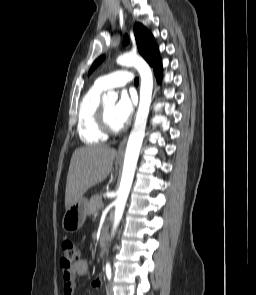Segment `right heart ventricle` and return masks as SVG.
<instances>
[{
    "mask_svg": "<svg viewBox=\"0 0 256 295\" xmlns=\"http://www.w3.org/2000/svg\"><path fill=\"white\" fill-rule=\"evenodd\" d=\"M105 90L93 85L82 98L78 110V133L85 144L93 145L107 139L99 128L97 113Z\"/></svg>",
    "mask_w": 256,
    "mask_h": 295,
    "instance_id": "1",
    "label": "right heart ventricle"
}]
</instances>
